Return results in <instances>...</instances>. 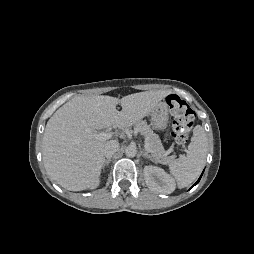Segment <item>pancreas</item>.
<instances>
[{"label":"pancreas","mask_w":254,"mask_h":254,"mask_svg":"<svg viewBox=\"0 0 254 254\" xmlns=\"http://www.w3.org/2000/svg\"><path fill=\"white\" fill-rule=\"evenodd\" d=\"M134 129L145 137L146 142L149 144V152L156 162L169 164L173 161L175 156H168V152L164 150L158 135L153 132L145 121L137 122Z\"/></svg>","instance_id":"cf45deb5"}]
</instances>
